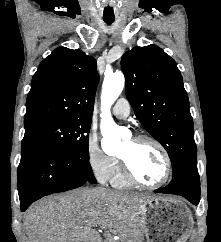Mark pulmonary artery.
<instances>
[{
    "label": "pulmonary artery",
    "mask_w": 221,
    "mask_h": 242,
    "mask_svg": "<svg viewBox=\"0 0 221 242\" xmlns=\"http://www.w3.org/2000/svg\"><path fill=\"white\" fill-rule=\"evenodd\" d=\"M112 113L117 118H127L130 114V105L127 99L119 98L112 109Z\"/></svg>",
    "instance_id": "1"
}]
</instances>
